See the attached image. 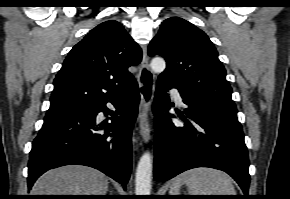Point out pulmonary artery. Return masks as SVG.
<instances>
[{
	"label": "pulmonary artery",
	"mask_w": 290,
	"mask_h": 199,
	"mask_svg": "<svg viewBox=\"0 0 290 199\" xmlns=\"http://www.w3.org/2000/svg\"><path fill=\"white\" fill-rule=\"evenodd\" d=\"M172 94H173V97H174L175 101H176L179 105H183V100H182V98H181V95H180L179 91L176 90V89H173V90H172Z\"/></svg>",
	"instance_id": "pulmonary-artery-1"
}]
</instances>
